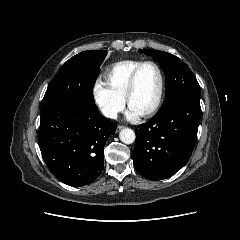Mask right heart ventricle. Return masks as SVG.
Here are the masks:
<instances>
[{"instance_id":"obj_1","label":"right heart ventricle","mask_w":240,"mask_h":240,"mask_svg":"<svg viewBox=\"0 0 240 240\" xmlns=\"http://www.w3.org/2000/svg\"><path fill=\"white\" fill-rule=\"evenodd\" d=\"M140 60H122L112 64L105 72V81L117 94L125 98L128 81Z\"/></svg>"}]
</instances>
